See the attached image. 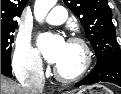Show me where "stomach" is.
Instances as JSON below:
<instances>
[{"label":"stomach","instance_id":"obj_1","mask_svg":"<svg viewBox=\"0 0 121 94\" xmlns=\"http://www.w3.org/2000/svg\"><path fill=\"white\" fill-rule=\"evenodd\" d=\"M78 94H113V92L105 86L97 84L82 89Z\"/></svg>","mask_w":121,"mask_h":94}]
</instances>
